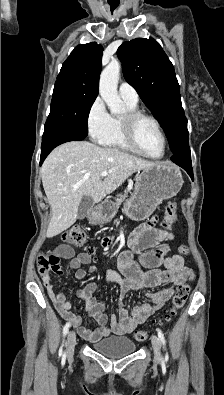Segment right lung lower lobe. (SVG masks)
Listing matches in <instances>:
<instances>
[{
  "label": "right lung lower lobe",
  "instance_id": "right-lung-lower-lobe-1",
  "mask_svg": "<svg viewBox=\"0 0 224 395\" xmlns=\"http://www.w3.org/2000/svg\"><path fill=\"white\" fill-rule=\"evenodd\" d=\"M85 137L75 133L65 125L46 123L42 136L40 165L47 155L58 145L69 141H81Z\"/></svg>",
  "mask_w": 224,
  "mask_h": 395
}]
</instances>
